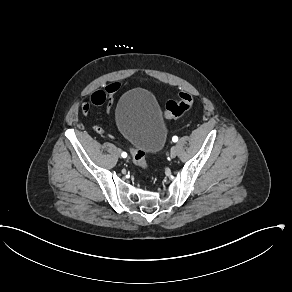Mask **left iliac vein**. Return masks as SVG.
<instances>
[{"label": "left iliac vein", "mask_w": 292, "mask_h": 292, "mask_svg": "<svg viewBox=\"0 0 292 292\" xmlns=\"http://www.w3.org/2000/svg\"><path fill=\"white\" fill-rule=\"evenodd\" d=\"M177 152H178L177 147H176V146H173V147L171 148V151H170V156H171V158H175L176 155H177Z\"/></svg>", "instance_id": "4c4485c4"}]
</instances>
